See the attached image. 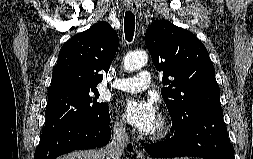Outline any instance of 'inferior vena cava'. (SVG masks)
<instances>
[{"mask_svg": "<svg viewBox=\"0 0 253 159\" xmlns=\"http://www.w3.org/2000/svg\"><path fill=\"white\" fill-rule=\"evenodd\" d=\"M127 142L128 137L125 126L122 124L115 126L111 141L105 148L106 159H120V156L125 150Z\"/></svg>", "mask_w": 253, "mask_h": 159, "instance_id": "1", "label": "inferior vena cava"}]
</instances>
